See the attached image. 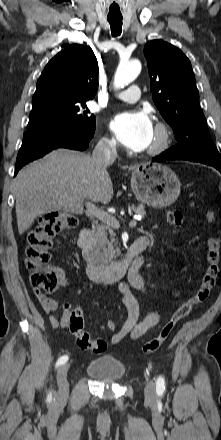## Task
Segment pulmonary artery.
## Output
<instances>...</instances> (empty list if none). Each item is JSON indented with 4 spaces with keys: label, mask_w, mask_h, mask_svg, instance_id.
I'll list each match as a JSON object with an SVG mask.
<instances>
[{
    "label": "pulmonary artery",
    "mask_w": 221,
    "mask_h": 440,
    "mask_svg": "<svg viewBox=\"0 0 221 440\" xmlns=\"http://www.w3.org/2000/svg\"><path fill=\"white\" fill-rule=\"evenodd\" d=\"M139 97L140 89L137 85H132L128 89L123 90L116 95L117 99L128 103L136 102Z\"/></svg>",
    "instance_id": "1"
}]
</instances>
